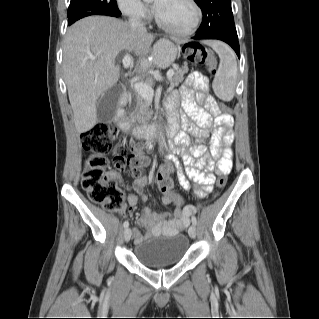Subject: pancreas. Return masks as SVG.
I'll return each mask as SVG.
<instances>
[{
  "mask_svg": "<svg viewBox=\"0 0 319 319\" xmlns=\"http://www.w3.org/2000/svg\"><path fill=\"white\" fill-rule=\"evenodd\" d=\"M188 73V66L186 63L182 67L178 65L174 66V74L170 79V86L174 88L178 86L184 80V75ZM136 96V108L131 115V122L134 124H144L146 120L151 117V112L149 111L150 100L143 98L138 93H135Z\"/></svg>",
  "mask_w": 319,
  "mask_h": 319,
  "instance_id": "cf45deb5",
  "label": "pancreas"
}]
</instances>
